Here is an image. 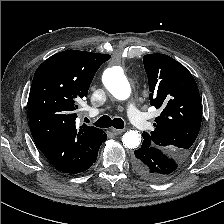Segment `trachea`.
Masks as SVG:
<instances>
[{
    "instance_id": "1",
    "label": "trachea",
    "mask_w": 224,
    "mask_h": 224,
    "mask_svg": "<svg viewBox=\"0 0 224 224\" xmlns=\"http://www.w3.org/2000/svg\"><path fill=\"white\" fill-rule=\"evenodd\" d=\"M85 122H89L87 118H85ZM95 126L100 128H108L113 126L116 129H123L124 128V121L121 118H114L113 120L109 116H102L100 117L95 123Z\"/></svg>"
}]
</instances>
